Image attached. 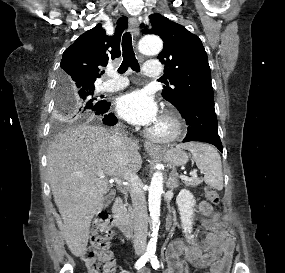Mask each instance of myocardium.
<instances>
[{"label": "myocardium", "mask_w": 285, "mask_h": 273, "mask_svg": "<svg viewBox=\"0 0 285 273\" xmlns=\"http://www.w3.org/2000/svg\"><path fill=\"white\" fill-rule=\"evenodd\" d=\"M159 121L166 123L169 130L165 134H158L153 129L147 131V137L156 143H170L177 140L184 132L185 125L181 116L174 110L164 112Z\"/></svg>", "instance_id": "f54148a6"}]
</instances>
